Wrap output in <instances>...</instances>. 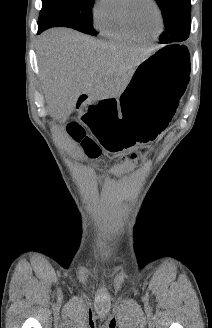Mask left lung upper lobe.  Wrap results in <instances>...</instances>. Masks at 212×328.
<instances>
[{
    "instance_id": "5c2ea615",
    "label": "left lung upper lobe",
    "mask_w": 212,
    "mask_h": 328,
    "mask_svg": "<svg viewBox=\"0 0 212 328\" xmlns=\"http://www.w3.org/2000/svg\"><path fill=\"white\" fill-rule=\"evenodd\" d=\"M161 9L166 30L159 37L160 43L186 40L190 33V0H156Z\"/></svg>"
}]
</instances>
